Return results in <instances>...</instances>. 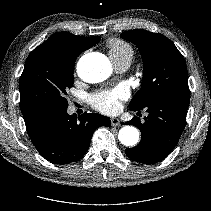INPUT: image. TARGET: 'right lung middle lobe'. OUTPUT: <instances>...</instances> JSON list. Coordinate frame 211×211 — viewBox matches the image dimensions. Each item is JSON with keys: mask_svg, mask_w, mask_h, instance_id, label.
I'll list each match as a JSON object with an SVG mask.
<instances>
[{"mask_svg": "<svg viewBox=\"0 0 211 211\" xmlns=\"http://www.w3.org/2000/svg\"><path fill=\"white\" fill-rule=\"evenodd\" d=\"M74 63L60 61L46 49L35 48L28 56L19 80L23 117L67 108L66 90L73 86Z\"/></svg>", "mask_w": 211, "mask_h": 211, "instance_id": "right-lung-middle-lobe-1", "label": "right lung middle lobe"}]
</instances>
